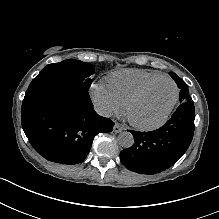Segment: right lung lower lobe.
I'll list each match as a JSON object with an SVG mask.
<instances>
[{
  "mask_svg": "<svg viewBox=\"0 0 219 219\" xmlns=\"http://www.w3.org/2000/svg\"><path fill=\"white\" fill-rule=\"evenodd\" d=\"M21 123L34 149L61 164L82 162L94 137L114 126L94 111L88 90L58 78L33 79L22 103Z\"/></svg>",
  "mask_w": 219,
  "mask_h": 219,
  "instance_id": "98d812e1",
  "label": "right lung lower lobe"
}]
</instances>
